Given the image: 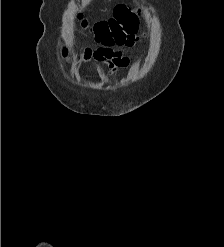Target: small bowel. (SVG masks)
<instances>
[{
    "label": "small bowel",
    "instance_id": "1",
    "mask_svg": "<svg viewBox=\"0 0 224 247\" xmlns=\"http://www.w3.org/2000/svg\"><path fill=\"white\" fill-rule=\"evenodd\" d=\"M145 38V33H138V30L128 34L119 36L113 40L97 41V48H85L82 56L77 60V63H84L90 59L102 61L108 64V71L104 76H112L119 69L128 68L133 65L130 58L125 54V50L135 47ZM117 47V49H114ZM60 54L66 57L67 50L61 46Z\"/></svg>",
    "mask_w": 224,
    "mask_h": 247
}]
</instances>
